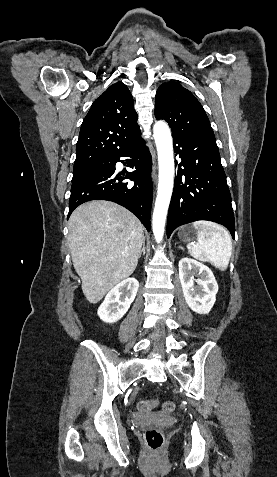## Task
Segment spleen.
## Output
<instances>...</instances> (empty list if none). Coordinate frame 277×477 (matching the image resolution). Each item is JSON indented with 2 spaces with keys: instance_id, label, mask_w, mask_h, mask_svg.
<instances>
[{
  "instance_id": "obj_1",
  "label": "spleen",
  "mask_w": 277,
  "mask_h": 477,
  "mask_svg": "<svg viewBox=\"0 0 277 477\" xmlns=\"http://www.w3.org/2000/svg\"><path fill=\"white\" fill-rule=\"evenodd\" d=\"M193 227L197 230V242L187 246L190 255L225 271L232 254L229 232L224 227L208 221L194 222Z\"/></svg>"
}]
</instances>
